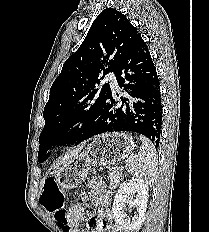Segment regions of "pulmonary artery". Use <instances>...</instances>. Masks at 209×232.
Returning <instances> with one entry per match:
<instances>
[{"instance_id":"1","label":"pulmonary artery","mask_w":209,"mask_h":232,"mask_svg":"<svg viewBox=\"0 0 209 232\" xmlns=\"http://www.w3.org/2000/svg\"><path fill=\"white\" fill-rule=\"evenodd\" d=\"M106 80L109 81V84H110V86H111L112 89L117 90L119 88L117 80H116V77L113 74H110L106 78Z\"/></svg>"}]
</instances>
